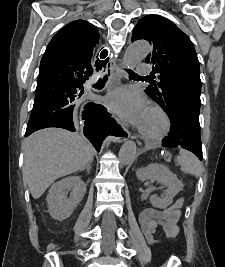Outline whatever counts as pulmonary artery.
I'll return each instance as SVG.
<instances>
[{
	"label": "pulmonary artery",
	"instance_id": "e3ab8cb5",
	"mask_svg": "<svg viewBox=\"0 0 225 267\" xmlns=\"http://www.w3.org/2000/svg\"><path fill=\"white\" fill-rule=\"evenodd\" d=\"M137 72L140 75H148L150 73L149 66L147 64H139Z\"/></svg>",
	"mask_w": 225,
	"mask_h": 267
}]
</instances>
